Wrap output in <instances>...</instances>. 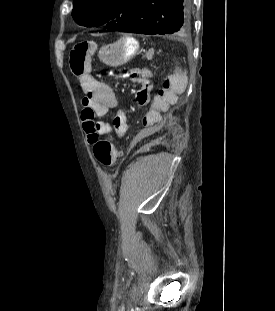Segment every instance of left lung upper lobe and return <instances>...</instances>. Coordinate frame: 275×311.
<instances>
[{
	"label": "left lung upper lobe",
	"instance_id": "left-lung-upper-lobe-1",
	"mask_svg": "<svg viewBox=\"0 0 275 311\" xmlns=\"http://www.w3.org/2000/svg\"><path fill=\"white\" fill-rule=\"evenodd\" d=\"M142 0H74L72 16L79 25H106L108 31L119 29Z\"/></svg>",
	"mask_w": 275,
	"mask_h": 311
}]
</instances>
